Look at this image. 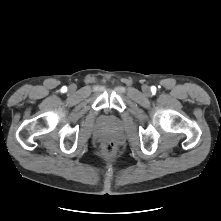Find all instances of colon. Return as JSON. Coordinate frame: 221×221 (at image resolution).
Listing matches in <instances>:
<instances>
[{"instance_id":"1","label":"colon","mask_w":221,"mask_h":221,"mask_svg":"<svg viewBox=\"0 0 221 221\" xmlns=\"http://www.w3.org/2000/svg\"><path fill=\"white\" fill-rule=\"evenodd\" d=\"M117 144L113 140H106L102 144V153L106 158H112L117 154Z\"/></svg>"}]
</instances>
